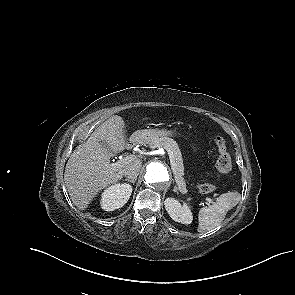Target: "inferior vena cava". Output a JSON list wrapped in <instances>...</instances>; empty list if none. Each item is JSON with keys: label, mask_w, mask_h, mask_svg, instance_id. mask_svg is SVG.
Listing matches in <instances>:
<instances>
[{"label": "inferior vena cava", "mask_w": 295, "mask_h": 295, "mask_svg": "<svg viewBox=\"0 0 295 295\" xmlns=\"http://www.w3.org/2000/svg\"><path fill=\"white\" fill-rule=\"evenodd\" d=\"M140 168L141 167L138 165H129L126 167V169L124 171V175L128 179H136L139 174Z\"/></svg>", "instance_id": "1"}]
</instances>
